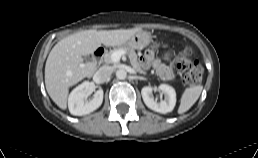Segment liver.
<instances>
[{
    "instance_id": "6515ba94",
    "label": "liver",
    "mask_w": 258,
    "mask_h": 158,
    "mask_svg": "<svg viewBox=\"0 0 258 158\" xmlns=\"http://www.w3.org/2000/svg\"><path fill=\"white\" fill-rule=\"evenodd\" d=\"M140 28L120 30H84L60 40L50 51L45 65L46 90L61 108H67L69 88L93 75L95 65L84 63L83 57L103 44L107 47L126 43Z\"/></svg>"
}]
</instances>
